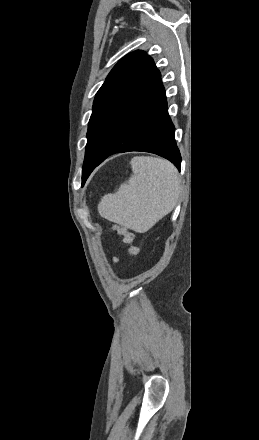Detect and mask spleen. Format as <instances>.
I'll return each instance as SVG.
<instances>
[{
	"label": "spleen",
	"instance_id": "3e777b00",
	"mask_svg": "<svg viewBox=\"0 0 259 440\" xmlns=\"http://www.w3.org/2000/svg\"><path fill=\"white\" fill-rule=\"evenodd\" d=\"M131 168L128 182L104 195L98 211L109 221L144 233L174 209L181 183L175 166L165 159L136 156Z\"/></svg>",
	"mask_w": 259,
	"mask_h": 440
}]
</instances>
